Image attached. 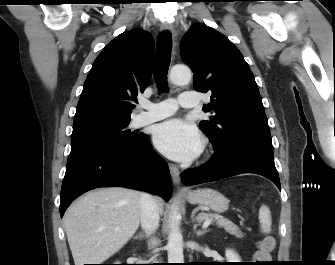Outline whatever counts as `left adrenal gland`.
Instances as JSON below:
<instances>
[{
  "label": "left adrenal gland",
  "instance_id": "left-adrenal-gland-1",
  "mask_svg": "<svg viewBox=\"0 0 335 265\" xmlns=\"http://www.w3.org/2000/svg\"><path fill=\"white\" fill-rule=\"evenodd\" d=\"M196 228H197V225H195L194 226V229L196 230ZM209 231V229H204V230H196V235H197V237H199V236H203L206 232H208Z\"/></svg>",
  "mask_w": 335,
  "mask_h": 265
}]
</instances>
